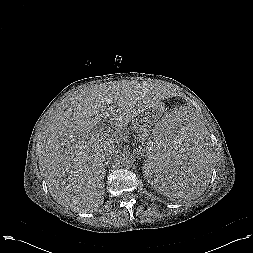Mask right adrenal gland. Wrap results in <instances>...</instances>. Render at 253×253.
Returning <instances> with one entry per match:
<instances>
[{"label": "right adrenal gland", "mask_w": 253, "mask_h": 253, "mask_svg": "<svg viewBox=\"0 0 253 253\" xmlns=\"http://www.w3.org/2000/svg\"><path fill=\"white\" fill-rule=\"evenodd\" d=\"M110 157L107 159V161L105 162V174H106V172H107V167H109V164H110Z\"/></svg>", "instance_id": "1"}]
</instances>
